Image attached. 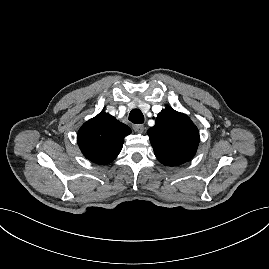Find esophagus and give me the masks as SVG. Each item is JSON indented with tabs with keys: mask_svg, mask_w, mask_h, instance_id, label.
<instances>
[{
	"mask_svg": "<svg viewBox=\"0 0 269 269\" xmlns=\"http://www.w3.org/2000/svg\"><path fill=\"white\" fill-rule=\"evenodd\" d=\"M133 129L137 133H143L145 130V127L142 124H136V125H134Z\"/></svg>",
	"mask_w": 269,
	"mask_h": 269,
	"instance_id": "1",
	"label": "esophagus"
}]
</instances>
